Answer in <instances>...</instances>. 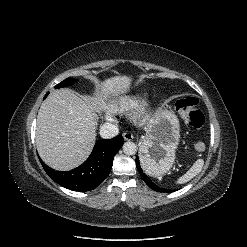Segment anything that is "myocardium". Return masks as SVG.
<instances>
[{"label": "myocardium", "instance_id": "f54148a6", "mask_svg": "<svg viewBox=\"0 0 247 247\" xmlns=\"http://www.w3.org/2000/svg\"><path fill=\"white\" fill-rule=\"evenodd\" d=\"M148 113H149L148 102H142L135 107L132 113V119L136 122H141L147 118Z\"/></svg>", "mask_w": 247, "mask_h": 247}]
</instances>
